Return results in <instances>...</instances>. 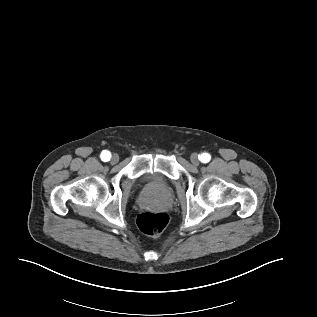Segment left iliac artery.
<instances>
[{
	"instance_id": "1",
	"label": "left iliac artery",
	"mask_w": 317,
	"mask_h": 317,
	"mask_svg": "<svg viewBox=\"0 0 317 317\" xmlns=\"http://www.w3.org/2000/svg\"><path fill=\"white\" fill-rule=\"evenodd\" d=\"M199 159H200L201 162L207 163V162L210 161L211 156H210V154H208V153H203V154H201V155L199 156Z\"/></svg>"
}]
</instances>
